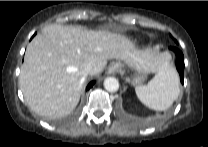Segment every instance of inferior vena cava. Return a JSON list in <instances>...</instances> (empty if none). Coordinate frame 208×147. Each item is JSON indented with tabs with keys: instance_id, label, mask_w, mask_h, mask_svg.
<instances>
[{
	"instance_id": "1",
	"label": "inferior vena cava",
	"mask_w": 208,
	"mask_h": 147,
	"mask_svg": "<svg viewBox=\"0 0 208 147\" xmlns=\"http://www.w3.org/2000/svg\"><path fill=\"white\" fill-rule=\"evenodd\" d=\"M83 73L84 75H89V74H92L93 73V68L91 65H87L83 68Z\"/></svg>"
}]
</instances>
